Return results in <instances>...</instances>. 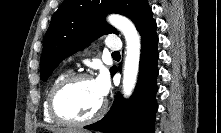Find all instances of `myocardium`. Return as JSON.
I'll use <instances>...</instances> for the list:
<instances>
[{"label":"myocardium","instance_id":"myocardium-1","mask_svg":"<svg viewBox=\"0 0 221 133\" xmlns=\"http://www.w3.org/2000/svg\"><path fill=\"white\" fill-rule=\"evenodd\" d=\"M83 80H93V78L87 73L71 74V75L66 76L62 80H60L51 90L49 97H48V111H49L50 116L57 123L67 125V126H84V125L97 121L104 115L106 108H107V103L104 99L101 102L97 111L94 112L91 116L84 118V119L77 120V119L66 118L63 115H61V113L58 111L57 106H56V100H57L58 95L68 86L76 82L83 81Z\"/></svg>","mask_w":221,"mask_h":133}]
</instances>
